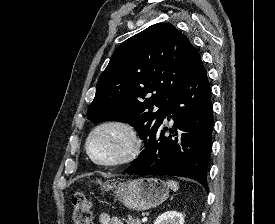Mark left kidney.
Wrapping results in <instances>:
<instances>
[{
	"label": "left kidney",
	"mask_w": 275,
	"mask_h": 224,
	"mask_svg": "<svg viewBox=\"0 0 275 224\" xmlns=\"http://www.w3.org/2000/svg\"><path fill=\"white\" fill-rule=\"evenodd\" d=\"M154 224H184V218L177 211H166L156 219Z\"/></svg>",
	"instance_id": "1"
}]
</instances>
